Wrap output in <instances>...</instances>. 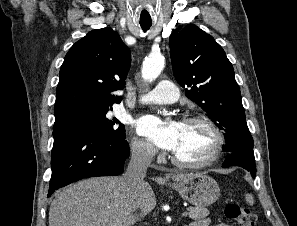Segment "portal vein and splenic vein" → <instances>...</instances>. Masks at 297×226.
I'll use <instances>...</instances> for the list:
<instances>
[{"mask_svg":"<svg viewBox=\"0 0 297 226\" xmlns=\"http://www.w3.org/2000/svg\"><path fill=\"white\" fill-rule=\"evenodd\" d=\"M187 215H188V212L186 211L182 213V217H186Z\"/></svg>","mask_w":297,"mask_h":226,"instance_id":"1","label":"portal vein and splenic vein"}]
</instances>
